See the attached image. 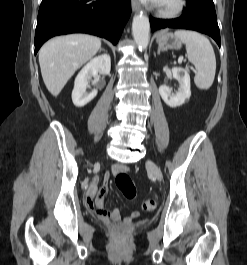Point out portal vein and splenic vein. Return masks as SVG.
<instances>
[{
  "instance_id": "obj_1",
  "label": "portal vein and splenic vein",
  "mask_w": 247,
  "mask_h": 265,
  "mask_svg": "<svg viewBox=\"0 0 247 265\" xmlns=\"http://www.w3.org/2000/svg\"><path fill=\"white\" fill-rule=\"evenodd\" d=\"M179 61L182 62V61H183V57H180V58H179Z\"/></svg>"
}]
</instances>
